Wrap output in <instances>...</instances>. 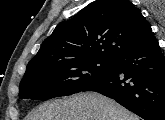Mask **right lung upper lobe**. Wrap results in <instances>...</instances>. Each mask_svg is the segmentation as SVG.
<instances>
[{"instance_id":"obj_1","label":"right lung upper lobe","mask_w":165,"mask_h":120,"mask_svg":"<svg viewBox=\"0 0 165 120\" xmlns=\"http://www.w3.org/2000/svg\"><path fill=\"white\" fill-rule=\"evenodd\" d=\"M153 36L149 23L129 0H96L59 23L27 67L75 58L114 61Z\"/></svg>"}]
</instances>
